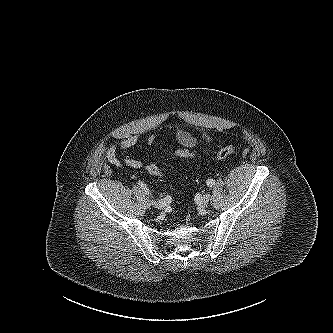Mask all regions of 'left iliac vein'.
I'll list each match as a JSON object with an SVG mask.
<instances>
[{
	"mask_svg": "<svg viewBox=\"0 0 333 333\" xmlns=\"http://www.w3.org/2000/svg\"><path fill=\"white\" fill-rule=\"evenodd\" d=\"M209 200H210V195L209 194L203 195V197L199 201V207L201 209H204L208 205Z\"/></svg>",
	"mask_w": 333,
	"mask_h": 333,
	"instance_id": "left-iliac-vein-1",
	"label": "left iliac vein"
}]
</instances>
